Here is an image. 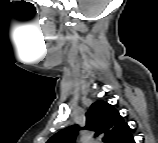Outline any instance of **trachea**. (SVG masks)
Listing matches in <instances>:
<instances>
[{"label": "trachea", "mask_w": 158, "mask_h": 143, "mask_svg": "<svg viewBox=\"0 0 158 143\" xmlns=\"http://www.w3.org/2000/svg\"><path fill=\"white\" fill-rule=\"evenodd\" d=\"M103 141L104 142H108V138H103Z\"/></svg>", "instance_id": "3493384b"}]
</instances>
